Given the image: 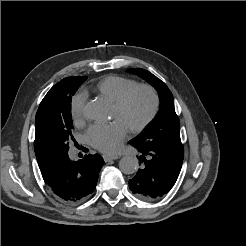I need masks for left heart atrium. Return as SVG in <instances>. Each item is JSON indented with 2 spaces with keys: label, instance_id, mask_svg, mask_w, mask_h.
Masks as SVG:
<instances>
[{
  "label": "left heart atrium",
  "instance_id": "39dd6f15",
  "mask_svg": "<svg viewBox=\"0 0 246 246\" xmlns=\"http://www.w3.org/2000/svg\"><path fill=\"white\" fill-rule=\"evenodd\" d=\"M128 133V127L120 120L111 123H96L86 133L87 142L104 153H116Z\"/></svg>",
  "mask_w": 246,
  "mask_h": 246
}]
</instances>
